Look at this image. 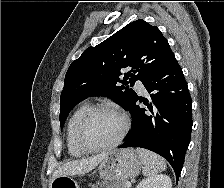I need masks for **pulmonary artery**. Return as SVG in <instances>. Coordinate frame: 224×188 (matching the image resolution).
Listing matches in <instances>:
<instances>
[{
    "label": "pulmonary artery",
    "instance_id": "1",
    "mask_svg": "<svg viewBox=\"0 0 224 188\" xmlns=\"http://www.w3.org/2000/svg\"><path fill=\"white\" fill-rule=\"evenodd\" d=\"M135 87H136V89L139 90L140 92H144V91H145L144 85H143L142 82H140V81L136 82Z\"/></svg>",
    "mask_w": 224,
    "mask_h": 188
}]
</instances>
